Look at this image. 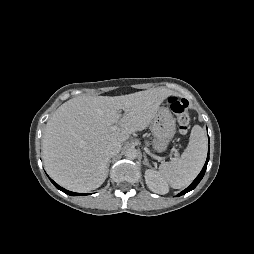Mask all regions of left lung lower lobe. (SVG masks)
<instances>
[{"mask_svg": "<svg viewBox=\"0 0 254 254\" xmlns=\"http://www.w3.org/2000/svg\"><path fill=\"white\" fill-rule=\"evenodd\" d=\"M208 161H209V152H208V157H207L206 163H205L202 171L200 172V174L196 177V179L192 182V184L189 187H187L185 190L180 192L177 196L184 195L185 193L193 190L198 185V183L201 181V179L203 178V176L205 174Z\"/></svg>", "mask_w": 254, "mask_h": 254, "instance_id": "left-lung-lower-lobe-1", "label": "left lung lower lobe"}]
</instances>
